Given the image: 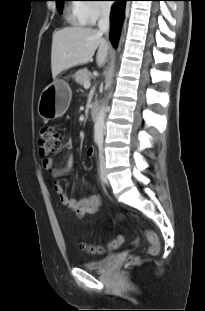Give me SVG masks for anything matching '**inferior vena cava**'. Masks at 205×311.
I'll use <instances>...</instances> for the list:
<instances>
[{
  "label": "inferior vena cava",
  "mask_w": 205,
  "mask_h": 311,
  "mask_svg": "<svg viewBox=\"0 0 205 311\" xmlns=\"http://www.w3.org/2000/svg\"><path fill=\"white\" fill-rule=\"evenodd\" d=\"M110 9L109 8H102L100 10V18L98 21V28L100 33H105L107 36L109 34L110 28Z\"/></svg>",
  "instance_id": "1"
}]
</instances>
